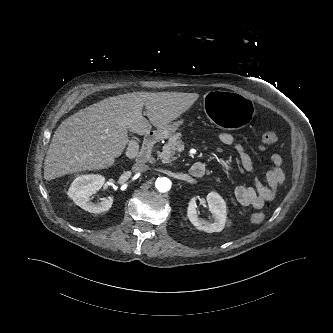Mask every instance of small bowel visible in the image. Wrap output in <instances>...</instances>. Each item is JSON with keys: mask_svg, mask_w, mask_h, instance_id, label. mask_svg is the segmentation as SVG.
Masks as SVG:
<instances>
[{"mask_svg": "<svg viewBox=\"0 0 333 333\" xmlns=\"http://www.w3.org/2000/svg\"><path fill=\"white\" fill-rule=\"evenodd\" d=\"M219 140L222 144L232 146L235 149L243 170L251 174L253 172L252 158L244 146L235 140L233 134L222 132ZM271 162L273 167L266 174V184L254 179L252 186L238 185L234 188V196L240 204L260 209L267 201L274 199L277 188L283 184L285 176L282 170L283 160L281 156L272 155Z\"/></svg>", "mask_w": 333, "mask_h": 333, "instance_id": "obj_1", "label": "small bowel"}]
</instances>
